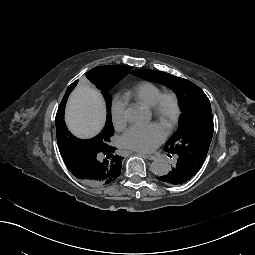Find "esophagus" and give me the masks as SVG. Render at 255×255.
Instances as JSON below:
<instances>
[{
  "mask_svg": "<svg viewBox=\"0 0 255 255\" xmlns=\"http://www.w3.org/2000/svg\"><path fill=\"white\" fill-rule=\"evenodd\" d=\"M140 154V153H139ZM145 157L149 160H155L156 159V156L154 155H151V154H146Z\"/></svg>",
  "mask_w": 255,
  "mask_h": 255,
  "instance_id": "obj_1",
  "label": "esophagus"
}]
</instances>
